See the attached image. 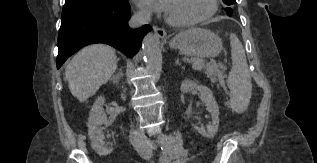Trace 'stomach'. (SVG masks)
<instances>
[{"instance_id": "obj_1", "label": "stomach", "mask_w": 317, "mask_h": 163, "mask_svg": "<svg viewBox=\"0 0 317 163\" xmlns=\"http://www.w3.org/2000/svg\"><path fill=\"white\" fill-rule=\"evenodd\" d=\"M170 46L189 56L214 57L222 50V40L210 30L190 28L178 33L171 40Z\"/></svg>"}]
</instances>
